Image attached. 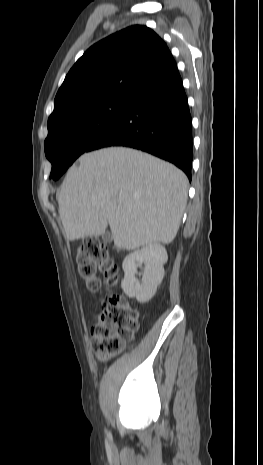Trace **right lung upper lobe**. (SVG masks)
Masks as SVG:
<instances>
[{
    "label": "right lung upper lobe",
    "instance_id": "right-lung-upper-lobe-1",
    "mask_svg": "<svg viewBox=\"0 0 263 465\" xmlns=\"http://www.w3.org/2000/svg\"><path fill=\"white\" fill-rule=\"evenodd\" d=\"M177 70L167 45L150 28L134 25L90 47L57 92L49 120L84 103L133 97Z\"/></svg>",
    "mask_w": 263,
    "mask_h": 465
}]
</instances>
